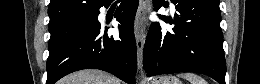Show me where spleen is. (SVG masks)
<instances>
[{"label":"spleen","mask_w":260,"mask_h":84,"mask_svg":"<svg viewBox=\"0 0 260 84\" xmlns=\"http://www.w3.org/2000/svg\"><path fill=\"white\" fill-rule=\"evenodd\" d=\"M178 76L187 79L191 84H207L205 79L194 73H182Z\"/></svg>","instance_id":"1"}]
</instances>
